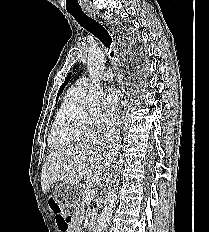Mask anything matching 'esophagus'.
<instances>
[{"label": "esophagus", "mask_w": 209, "mask_h": 232, "mask_svg": "<svg viewBox=\"0 0 209 232\" xmlns=\"http://www.w3.org/2000/svg\"><path fill=\"white\" fill-rule=\"evenodd\" d=\"M86 12L91 16H95V14H93V11L90 9L86 10ZM126 102H127V99H126V96H125L124 90H123V94L121 95V102H120V106H119V111L121 114H124V112L126 110Z\"/></svg>", "instance_id": "obj_1"}]
</instances>
